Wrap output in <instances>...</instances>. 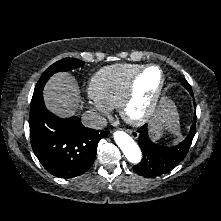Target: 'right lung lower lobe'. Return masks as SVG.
Here are the masks:
<instances>
[{"mask_svg": "<svg viewBox=\"0 0 221 221\" xmlns=\"http://www.w3.org/2000/svg\"><path fill=\"white\" fill-rule=\"evenodd\" d=\"M42 91L31 100L32 149L52 175L61 178L80 176L93 164L98 142L108 132L87 128L77 117L61 119L51 114L45 107Z\"/></svg>", "mask_w": 221, "mask_h": 221, "instance_id": "1", "label": "right lung lower lobe"}]
</instances>
